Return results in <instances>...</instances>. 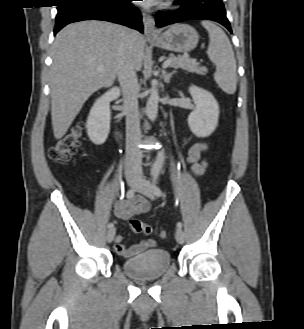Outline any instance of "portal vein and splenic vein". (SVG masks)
Wrapping results in <instances>:
<instances>
[{"instance_id": "obj_1", "label": "portal vein and splenic vein", "mask_w": 304, "mask_h": 329, "mask_svg": "<svg viewBox=\"0 0 304 329\" xmlns=\"http://www.w3.org/2000/svg\"><path fill=\"white\" fill-rule=\"evenodd\" d=\"M171 64V60H166L165 62H164V64H163V66L164 67H168L169 65ZM98 71H102V69L100 68V69H98Z\"/></svg>"}]
</instances>
